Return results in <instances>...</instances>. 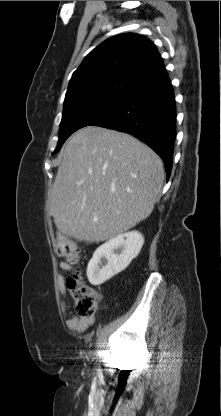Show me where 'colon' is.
Returning <instances> with one entry per match:
<instances>
[{
	"instance_id": "colon-1",
	"label": "colon",
	"mask_w": 221,
	"mask_h": 416,
	"mask_svg": "<svg viewBox=\"0 0 221 416\" xmlns=\"http://www.w3.org/2000/svg\"><path fill=\"white\" fill-rule=\"evenodd\" d=\"M56 252L69 264H78L81 258L77 244L62 234L58 237ZM67 288L73 298L77 316L81 318L92 317L97 308L98 294L82 283L78 273H74L73 276L68 278Z\"/></svg>"
}]
</instances>
